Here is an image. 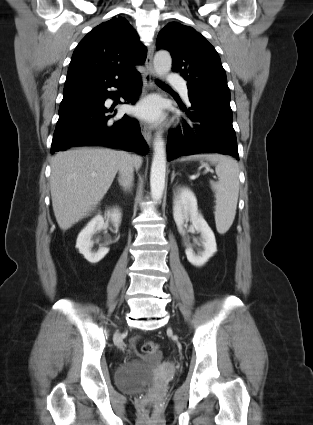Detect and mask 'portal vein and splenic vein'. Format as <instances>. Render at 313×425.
Wrapping results in <instances>:
<instances>
[{
    "instance_id": "obj_1",
    "label": "portal vein and splenic vein",
    "mask_w": 313,
    "mask_h": 425,
    "mask_svg": "<svg viewBox=\"0 0 313 425\" xmlns=\"http://www.w3.org/2000/svg\"><path fill=\"white\" fill-rule=\"evenodd\" d=\"M205 173H207V171H205ZM191 179H194V177H190Z\"/></svg>"
}]
</instances>
